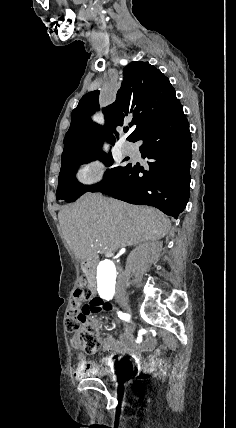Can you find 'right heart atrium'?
I'll use <instances>...</instances> for the list:
<instances>
[{"label": "right heart atrium", "instance_id": "d8ad5b80", "mask_svg": "<svg viewBox=\"0 0 236 428\" xmlns=\"http://www.w3.org/2000/svg\"><path fill=\"white\" fill-rule=\"evenodd\" d=\"M103 176L101 165L97 162L80 166L76 174L77 180L84 185L96 184L103 179Z\"/></svg>", "mask_w": 236, "mask_h": 428}]
</instances>
